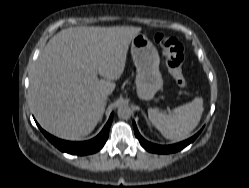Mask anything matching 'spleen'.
<instances>
[{
  "instance_id": "3e777b00",
  "label": "spleen",
  "mask_w": 249,
  "mask_h": 188,
  "mask_svg": "<svg viewBox=\"0 0 249 188\" xmlns=\"http://www.w3.org/2000/svg\"><path fill=\"white\" fill-rule=\"evenodd\" d=\"M203 100L200 97L179 106L172 113L166 114L158 109H148L151 123L170 140H184L197 127L203 113Z\"/></svg>"
}]
</instances>
